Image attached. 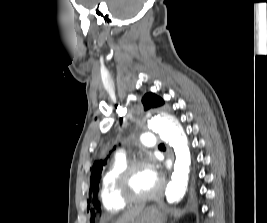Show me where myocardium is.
Wrapping results in <instances>:
<instances>
[{"label":"myocardium","mask_w":267,"mask_h":223,"mask_svg":"<svg viewBox=\"0 0 267 223\" xmlns=\"http://www.w3.org/2000/svg\"><path fill=\"white\" fill-rule=\"evenodd\" d=\"M139 167H147L154 170L153 161L149 157H141L134 159L126 164V166L120 171L115 180V191L118 197L125 203H145L156 199L163 190V181L159 179L158 187L151 193L145 195H132L128 191V183L131 175Z\"/></svg>","instance_id":"obj_1"}]
</instances>
